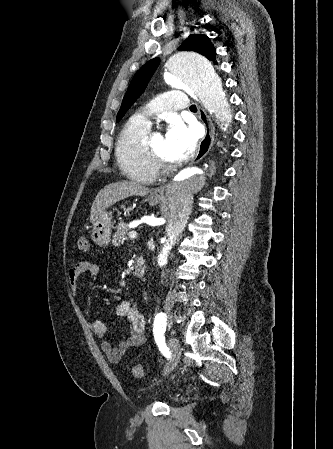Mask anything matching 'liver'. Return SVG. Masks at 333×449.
Here are the masks:
<instances>
[{
	"instance_id": "1",
	"label": "liver",
	"mask_w": 333,
	"mask_h": 449,
	"mask_svg": "<svg viewBox=\"0 0 333 449\" xmlns=\"http://www.w3.org/2000/svg\"><path fill=\"white\" fill-rule=\"evenodd\" d=\"M149 189L132 181H118L106 185L96 196L90 220L93 223L108 207L116 202L132 196H145Z\"/></svg>"
}]
</instances>
